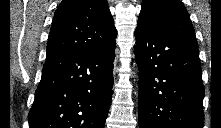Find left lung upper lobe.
<instances>
[{
	"mask_svg": "<svg viewBox=\"0 0 221 128\" xmlns=\"http://www.w3.org/2000/svg\"><path fill=\"white\" fill-rule=\"evenodd\" d=\"M138 24L172 34L198 46L189 15L178 0H143Z\"/></svg>",
	"mask_w": 221,
	"mask_h": 128,
	"instance_id": "obj_1",
	"label": "left lung upper lobe"
}]
</instances>
